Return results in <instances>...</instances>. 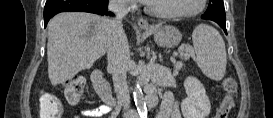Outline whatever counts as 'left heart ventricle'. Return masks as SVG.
Segmentation results:
<instances>
[{"instance_id":"b2bd125f","label":"left heart ventricle","mask_w":273,"mask_h":118,"mask_svg":"<svg viewBox=\"0 0 273 118\" xmlns=\"http://www.w3.org/2000/svg\"><path fill=\"white\" fill-rule=\"evenodd\" d=\"M151 3L160 12L184 13L196 9L199 0H154Z\"/></svg>"}]
</instances>
